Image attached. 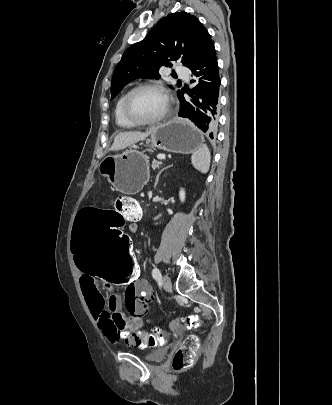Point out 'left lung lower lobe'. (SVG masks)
Instances as JSON below:
<instances>
[{"label":"left lung lower lobe","instance_id":"left-lung-lower-lobe-1","mask_svg":"<svg viewBox=\"0 0 332 405\" xmlns=\"http://www.w3.org/2000/svg\"><path fill=\"white\" fill-rule=\"evenodd\" d=\"M196 86L192 90H185L192 100L187 102L184 90L178 96L180 99L179 116L190 119L202 131L213 138L219 117V88L220 77L216 59L215 47L212 44L202 57L190 68Z\"/></svg>","mask_w":332,"mask_h":405}]
</instances>
